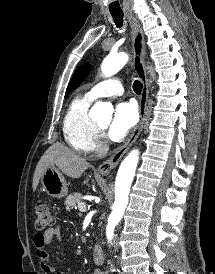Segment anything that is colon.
I'll list each match as a JSON object with an SVG mask.
<instances>
[{
    "instance_id": "obj_1",
    "label": "colon",
    "mask_w": 215,
    "mask_h": 274,
    "mask_svg": "<svg viewBox=\"0 0 215 274\" xmlns=\"http://www.w3.org/2000/svg\"><path fill=\"white\" fill-rule=\"evenodd\" d=\"M36 219L35 228L37 230H44L54 224L55 218L51 211L50 206L44 202L39 201L35 206Z\"/></svg>"
}]
</instances>
